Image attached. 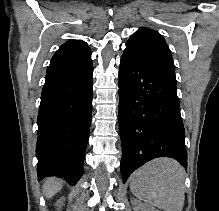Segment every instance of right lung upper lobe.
<instances>
[{
	"label": "right lung upper lobe",
	"instance_id": "cb5924a9",
	"mask_svg": "<svg viewBox=\"0 0 219 211\" xmlns=\"http://www.w3.org/2000/svg\"><path fill=\"white\" fill-rule=\"evenodd\" d=\"M91 57L89 47L84 41L71 40L63 44L53 56L51 62L79 61Z\"/></svg>",
	"mask_w": 219,
	"mask_h": 211
}]
</instances>
